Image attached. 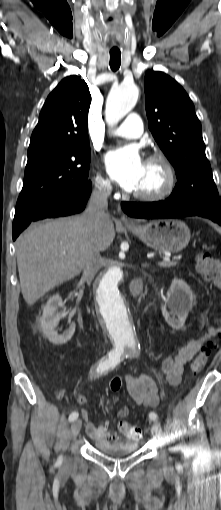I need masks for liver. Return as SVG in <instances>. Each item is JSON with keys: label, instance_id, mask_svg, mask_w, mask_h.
I'll list each match as a JSON object with an SVG mask.
<instances>
[{"label": "liver", "instance_id": "liver-1", "mask_svg": "<svg viewBox=\"0 0 221 510\" xmlns=\"http://www.w3.org/2000/svg\"><path fill=\"white\" fill-rule=\"evenodd\" d=\"M114 238L112 220L95 237L84 214L32 224L16 241L21 291L27 304H35L52 288L78 276L91 241L105 251Z\"/></svg>", "mask_w": 221, "mask_h": 510}]
</instances>
